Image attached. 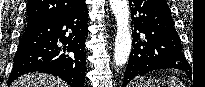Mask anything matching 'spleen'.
<instances>
[{
  "label": "spleen",
  "mask_w": 205,
  "mask_h": 87,
  "mask_svg": "<svg viewBox=\"0 0 205 87\" xmlns=\"http://www.w3.org/2000/svg\"><path fill=\"white\" fill-rule=\"evenodd\" d=\"M168 85L170 87H184L183 83H181L177 78L170 77L168 79Z\"/></svg>",
  "instance_id": "1"
}]
</instances>
